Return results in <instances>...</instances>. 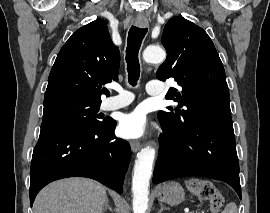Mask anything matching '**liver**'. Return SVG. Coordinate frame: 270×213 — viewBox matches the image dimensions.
<instances>
[{
    "label": "liver",
    "mask_w": 270,
    "mask_h": 213,
    "mask_svg": "<svg viewBox=\"0 0 270 213\" xmlns=\"http://www.w3.org/2000/svg\"><path fill=\"white\" fill-rule=\"evenodd\" d=\"M108 200L105 188L86 178L51 183L40 191L34 213H102Z\"/></svg>",
    "instance_id": "obj_1"
}]
</instances>
